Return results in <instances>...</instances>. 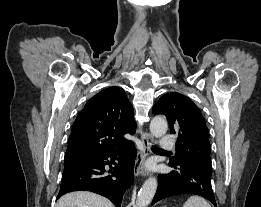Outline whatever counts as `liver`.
I'll return each mask as SVG.
<instances>
[{"instance_id": "1", "label": "liver", "mask_w": 261, "mask_h": 207, "mask_svg": "<svg viewBox=\"0 0 261 207\" xmlns=\"http://www.w3.org/2000/svg\"><path fill=\"white\" fill-rule=\"evenodd\" d=\"M56 207H114L105 197L87 191L71 192L63 195Z\"/></svg>"}]
</instances>
